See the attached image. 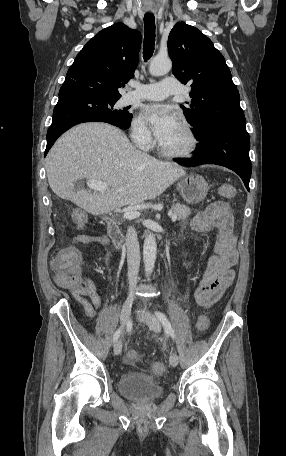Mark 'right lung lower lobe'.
<instances>
[{
	"label": "right lung lower lobe",
	"instance_id": "1",
	"mask_svg": "<svg viewBox=\"0 0 286 456\" xmlns=\"http://www.w3.org/2000/svg\"><path fill=\"white\" fill-rule=\"evenodd\" d=\"M102 101L98 95L82 87L62 86L53 111L52 124L47 132L45 156L56 139L70 127L84 122H105L97 117V107Z\"/></svg>",
	"mask_w": 286,
	"mask_h": 456
}]
</instances>
